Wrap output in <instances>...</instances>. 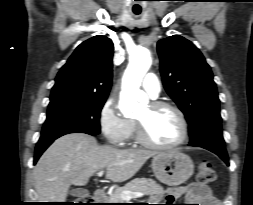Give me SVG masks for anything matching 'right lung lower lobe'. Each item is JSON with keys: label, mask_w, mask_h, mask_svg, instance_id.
Segmentation results:
<instances>
[{"label": "right lung lower lobe", "mask_w": 253, "mask_h": 205, "mask_svg": "<svg viewBox=\"0 0 253 205\" xmlns=\"http://www.w3.org/2000/svg\"><path fill=\"white\" fill-rule=\"evenodd\" d=\"M75 132H79V133H87L90 135H95L92 133H88L85 131H79V130H66V131H61L58 133H53V134H45V135H41L37 145H36V149H35V157H34V163L37 162V160L39 159V157L41 156V154L46 150V148L57 138L65 135V134H69V133H75Z\"/></svg>", "instance_id": "98d812e1"}]
</instances>
